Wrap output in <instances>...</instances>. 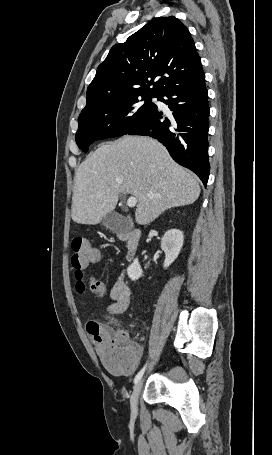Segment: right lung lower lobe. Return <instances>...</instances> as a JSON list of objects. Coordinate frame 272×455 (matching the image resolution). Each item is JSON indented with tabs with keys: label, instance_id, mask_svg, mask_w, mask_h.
Instances as JSON below:
<instances>
[{
	"label": "right lung lower lobe",
	"instance_id": "obj_1",
	"mask_svg": "<svg viewBox=\"0 0 272 455\" xmlns=\"http://www.w3.org/2000/svg\"><path fill=\"white\" fill-rule=\"evenodd\" d=\"M158 100L168 105L172 116L167 118L156 109L127 134L158 139L178 164L195 172L206 186L210 108L204 72L170 87Z\"/></svg>",
	"mask_w": 272,
	"mask_h": 455
}]
</instances>
